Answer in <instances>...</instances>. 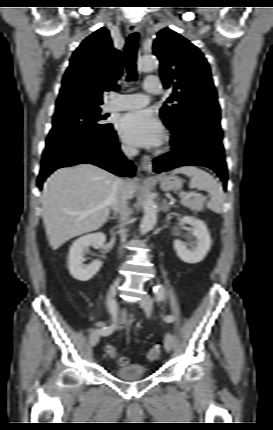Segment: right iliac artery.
<instances>
[{
  "label": "right iliac artery",
  "instance_id": "obj_1",
  "mask_svg": "<svg viewBox=\"0 0 273 430\" xmlns=\"http://www.w3.org/2000/svg\"><path fill=\"white\" fill-rule=\"evenodd\" d=\"M108 305H109L110 313L112 315V324L108 327H103L102 329L94 330V333L99 332L103 336H107L112 333L117 320V310L115 309V305H116L115 300L108 302Z\"/></svg>",
  "mask_w": 273,
  "mask_h": 430
}]
</instances>
